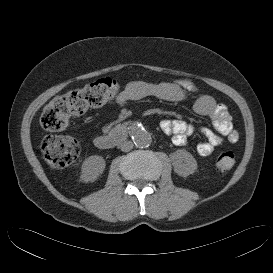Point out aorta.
Wrapping results in <instances>:
<instances>
[{
  "label": "aorta",
  "instance_id": "obj_1",
  "mask_svg": "<svg viewBox=\"0 0 273 273\" xmlns=\"http://www.w3.org/2000/svg\"><path fill=\"white\" fill-rule=\"evenodd\" d=\"M134 144L139 148H145L151 145L152 137L141 125L134 124L131 130Z\"/></svg>",
  "mask_w": 273,
  "mask_h": 273
}]
</instances>
